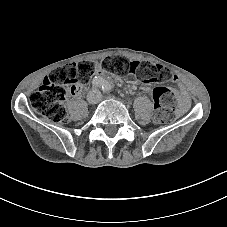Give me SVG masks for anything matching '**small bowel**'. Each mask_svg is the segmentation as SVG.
I'll list each match as a JSON object with an SVG mask.
<instances>
[{
  "label": "small bowel",
  "instance_id": "small-bowel-1",
  "mask_svg": "<svg viewBox=\"0 0 227 227\" xmlns=\"http://www.w3.org/2000/svg\"><path fill=\"white\" fill-rule=\"evenodd\" d=\"M105 71H103L102 69L100 68H97L96 69V73L98 75H101L103 74ZM173 81L174 82H178V78L176 75H174L173 77ZM145 91H149V88H144ZM81 91V87H79L73 94H78L79 92ZM180 103L182 106H186V103H187V95L184 91H182L181 95H180Z\"/></svg>",
  "mask_w": 227,
  "mask_h": 227
}]
</instances>
